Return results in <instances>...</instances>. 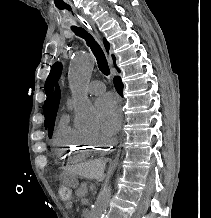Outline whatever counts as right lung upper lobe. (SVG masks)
<instances>
[{
	"label": "right lung upper lobe",
	"mask_w": 211,
	"mask_h": 218,
	"mask_svg": "<svg viewBox=\"0 0 211 218\" xmlns=\"http://www.w3.org/2000/svg\"><path fill=\"white\" fill-rule=\"evenodd\" d=\"M104 44H105L106 50L108 51L109 43L106 40H104ZM113 61H115L114 56H113ZM59 101H60V89L59 87H57L54 98H53V102H52V108H51L50 123H49V128H48L49 136L52 135L53 133L54 121H55L56 112L59 106Z\"/></svg>",
	"instance_id": "1"
}]
</instances>
